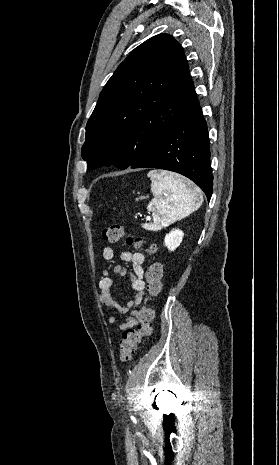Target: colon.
I'll return each instance as SVG.
<instances>
[{
	"instance_id": "obj_1",
	"label": "colon",
	"mask_w": 279,
	"mask_h": 465,
	"mask_svg": "<svg viewBox=\"0 0 279 465\" xmlns=\"http://www.w3.org/2000/svg\"><path fill=\"white\" fill-rule=\"evenodd\" d=\"M103 239L110 243H123L128 247L136 249L143 248V241L140 237L132 235H124L123 228L119 223H114L105 228L102 233ZM148 254H154L156 247L151 245L145 249ZM163 268L159 262L152 263L146 271V289L147 293L143 296L141 302L142 307L138 310L137 317L139 325L136 329H126L119 344V358L122 362L130 361L143 337L151 333V321L153 311L149 306L152 298L157 296L162 289Z\"/></svg>"
}]
</instances>
